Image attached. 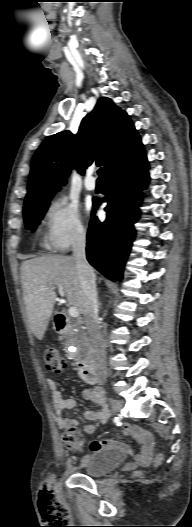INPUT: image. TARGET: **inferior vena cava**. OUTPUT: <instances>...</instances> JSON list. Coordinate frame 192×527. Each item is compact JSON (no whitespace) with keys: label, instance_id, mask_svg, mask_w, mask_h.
<instances>
[{"label":"inferior vena cava","instance_id":"1","mask_svg":"<svg viewBox=\"0 0 192 527\" xmlns=\"http://www.w3.org/2000/svg\"><path fill=\"white\" fill-rule=\"evenodd\" d=\"M86 233L79 227L72 238V257L76 261L80 279L85 324L91 338L97 374L102 382L106 379V345L98 321V300L96 277L93 268L86 259Z\"/></svg>","mask_w":192,"mask_h":527}]
</instances>
